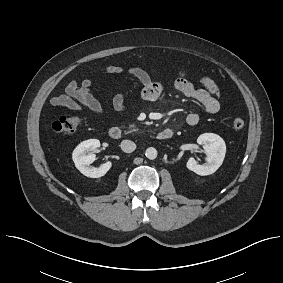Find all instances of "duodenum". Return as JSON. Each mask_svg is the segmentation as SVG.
I'll list each match as a JSON object with an SVG mask.
<instances>
[{
	"mask_svg": "<svg viewBox=\"0 0 283 283\" xmlns=\"http://www.w3.org/2000/svg\"><path fill=\"white\" fill-rule=\"evenodd\" d=\"M109 136L112 139L118 140L121 138V130L119 127H112L109 130ZM173 136V130L170 128L164 129L157 134L158 139L167 140Z\"/></svg>",
	"mask_w": 283,
	"mask_h": 283,
	"instance_id": "obj_1",
	"label": "duodenum"
}]
</instances>
